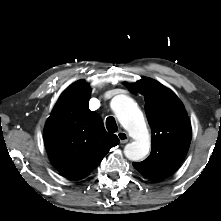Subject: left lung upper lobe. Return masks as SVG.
Masks as SVG:
<instances>
[{
    "mask_svg": "<svg viewBox=\"0 0 221 221\" xmlns=\"http://www.w3.org/2000/svg\"><path fill=\"white\" fill-rule=\"evenodd\" d=\"M130 92L145 99V112L152 130V150L144 161L133 166L146 178L161 181L183 162L191 141V124L178 97L159 82L142 78L126 84Z\"/></svg>",
    "mask_w": 221,
    "mask_h": 221,
    "instance_id": "1",
    "label": "left lung upper lobe"
}]
</instances>
